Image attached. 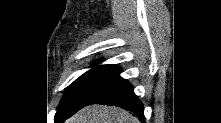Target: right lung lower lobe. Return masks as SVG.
<instances>
[{
    "label": "right lung lower lobe",
    "mask_w": 221,
    "mask_h": 123,
    "mask_svg": "<svg viewBox=\"0 0 221 123\" xmlns=\"http://www.w3.org/2000/svg\"><path fill=\"white\" fill-rule=\"evenodd\" d=\"M121 70L102 82L93 92L89 102L85 105L104 104L114 105L134 112L144 122V109L142 103L133 92L132 85L119 76ZM69 116L56 114V119L64 121Z\"/></svg>",
    "instance_id": "98d812e1"
}]
</instances>
